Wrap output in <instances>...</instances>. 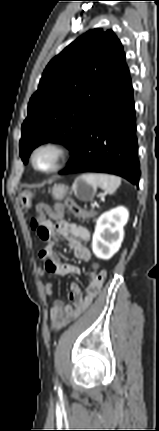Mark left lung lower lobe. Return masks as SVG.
Listing matches in <instances>:
<instances>
[{"label": "left lung lower lobe", "mask_w": 159, "mask_h": 431, "mask_svg": "<svg viewBox=\"0 0 159 431\" xmlns=\"http://www.w3.org/2000/svg\"><path fill=\"white\" fill-rule=\"evenodd\" d=\"M60 174L102 172L119 175L138 187L140 163L130 75L87 122Z\"/></svg>", "instance_id": "obj_1"}]
</instances>
